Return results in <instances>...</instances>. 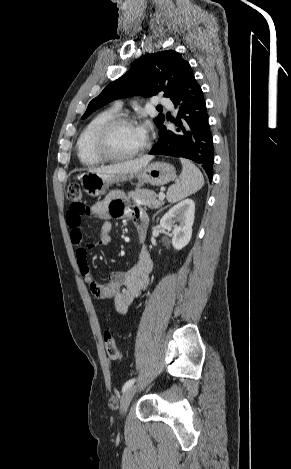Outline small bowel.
<instances>
[{"label": "small bowel", "mask_w": 291, "mask_h": 469, "mask_svg": "<svg viewBox=\"0 0 291 469\" xmlns=\"http://www.w3.org/2000/svg\"><path fill=\"white\" fill-rule=\"evenodd\" d=\"M94 216L101 220V228L97 240L83 245L82 219ZM112 218H130L138 231L146 233L148 216L138 208L126 204L120 191L110 192L103 200L95 203L89 214H81L73 207L67 212L66 220L70 228V239L77 247V262L80 273L88 284L91 293L100 300H113L118 313H125L131 303L149 286L153 262L146 247L139 253L137 262L126 271H114L106 283L97 282L87 263L88 249L109 245L112 241Z\"/></svg>", "instance_id": "c3829d8e"}]
</instances>
